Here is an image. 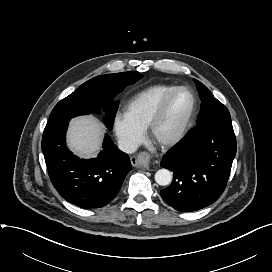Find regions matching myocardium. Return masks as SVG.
<instances>
[{"label": "myocardium", "mask_w": 272, "mask_h": 272, "mask_svg": "<svg viewBox=\"0 0 272 272\" xmlns=\"http://www.w3.org/2000/svg\"><path fill=\"white\" fill-rule=\"evenodd\" d=\"M181 91H187L192 96L193 103H192L191 111L177 134H175L173 137L169 139H165V140L158 139L156 135L158 126L160 125L164 117L166 116L167 111L174 97ZM197 109H198V100L194 91L187 86H178L176 89H174L165 97V99L162 101L161 105L155 112L154 116L152 117L148 125V131H149V135L151 139L162 148H171L176 146L186 137L189 130L191 129L196 113H197Z\"/></svg>", "instance_id": "1"}]
</instances>
